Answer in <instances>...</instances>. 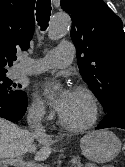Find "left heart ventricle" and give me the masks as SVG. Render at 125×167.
<instances>
[{
  "label": "left heart ventricle",
  "mask_w": 125,
  "mask_h": 167,
  "mask_svg": "<svg viewBox=\"0 0 125 167\" xmlns=\"http://www.w3.org/2000/svg\"><path fill=\"white\" fill-rule=\"evenodd\" d=\"M61 115L72 125H84L92 116V106L86 96L73 91L71 99Z\"/></svg>",
  "instance_id": "1"
}]
</instances>
